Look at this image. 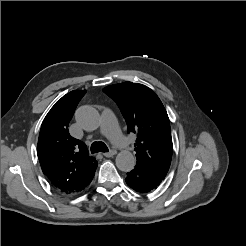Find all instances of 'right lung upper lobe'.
Instances as JSON below:
<instances>
[{
  "mask_svg": "<svg viewBox=\"0 0 246 246\" xmlns=\"http://www.w3.org/2000/svg\"><path fill=\"white\" fill-rule=\"evenodd\" d=\"M86 90L64 95L46 115L41 125L37 155L43 173L65 194H76L87 187L97 168L82 141L73 138L68 125Z\"/></svg>",
  "mask_w": 246,
  "mask_h": 246,
  "instance_id": "1",
  "label": "right lung upper lobe"
}]
</instances>
